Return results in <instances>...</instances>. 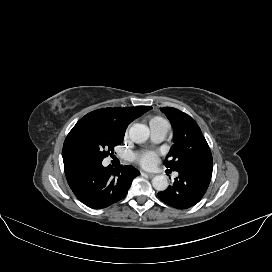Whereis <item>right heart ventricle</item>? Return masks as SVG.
Returning a JSON list of instances; mask_svg holds the SVG:
<instances>
[{"instance_id":"obj_1","label":"right heart ventricle","mask_w":272,"mask_h":272,"mask_svg":"<svg viewBox=\"0 0 272 272\" xmlns=\"http://www.w3.org/2000/svg\"><path fill=\"white\" fill-rule=\"evenodd\" d=\"M162 124H166L165 120L161 117L155 116L149 119V126L151 128L159 127Z\"/></svg>"}]
</instances>
